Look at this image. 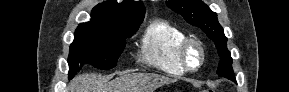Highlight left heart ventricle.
<instances>
[{
	"label": "left heart ventricle",
	"instance_id": "left-heart-ventricle-1",
	"mask_svg": "<svg viewBox=\"0 0 289 92\" xmlns=\"http://www.w3.org/2000/svg\"><path fill=\"white\" fill-rule=\"evenodd\" d=\"M188 61L191 66H196L199 62V52L198 50L193 47L190 49L188 53Z\"/></svg>",
	"mask_w": 289,
	"mask_h": 92
}]
</instances>
